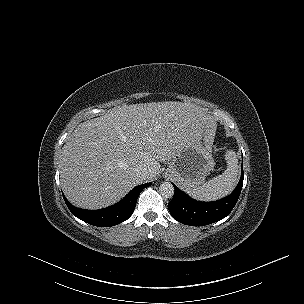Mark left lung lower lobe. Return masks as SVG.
<instances>
[{
    "label": "left lung lower lobe",
    "instance_id": "0a47b994",
    "mask_svg": "<svg viewBox=\"0 0 304 304\" xmlns=\"http://www.w3.org/2000/svg\"><path fill=\"white\" fill-rule=\"evenodd\" d=\"M243 165L236 189L227 197L215 202H200L190 198L174 184L175 193L168 204L172 217L180 223L191 226H204L225 218L232 211L243 186Z\"/></svg>",
    "mask_w": 304,
    "mask_h": 304
}]
</instances>
